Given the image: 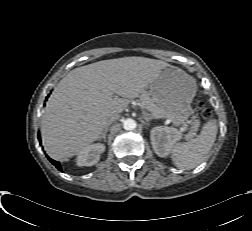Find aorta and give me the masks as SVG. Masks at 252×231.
<instances>
[{
	"instance_id": "1",
	"label": "aorta",
	"mask_w": 252,
	"mask_h": 231,
	"mask_svg": "<svg viewBox=\"0 0 252 231\" xmlns=\"http://www.w3.org/2000/svg\"><path fill=\"white\" fill-rule=\"evenodd\" d=\"M123 127L125 130H133L136 128V122L133 119H126L123 122Z\"/></svg>"
}]
</instances>
